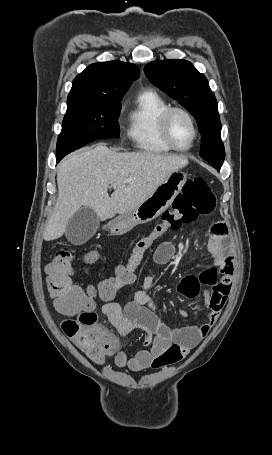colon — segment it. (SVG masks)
<instances>
[{
    "label": "colon",
    "instance_id": "5ec220e1",
    "mask_svg": "<svg viewBox=\"0 0 272 455\" xmlns=\"http://www.w3.org/2000/svg\"><path fill=\"white\" fill-rule=\"evenodd\" d=\"M215 204V196L204 178L187 180L172 208L162 214L161 221L149 234L136 242L128 260L119 264L113 276L100 282L97 289H84L74 284L71 249L64 247L55 253L45 269L47 289L57 311L68 316L62 322V330L93 362L101 364L116 347L115 338L96 325L97 317L93 311L96 296L109 301L119 289L135 283L144 254L157 239L199 215L212 213ZM95 258L94 254L87 256L89 261Z\"/></svg>",
    "mask_w": 272,
    "mask_h": 455
}]
</instances>
